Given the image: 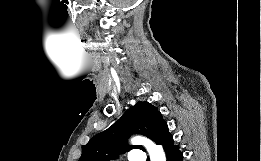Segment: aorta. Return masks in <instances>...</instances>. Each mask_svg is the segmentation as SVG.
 Segmentation results:
<instances>
[{"mask_svg": "<svg viewBox=\"0 0 261 161\" xmlns=\"http://www.w3.org/2000/svg\"><path fill=\"white\" fill-rule=\"evenodd\" d=\"M133 144L144 145L149 153L150 161H166L165 152L161 145H156L148 138L136 136L131 139Z\"/></svg>", "mask_w": 261, "mask_h": 161, "instance_id": "1", "label": "aorta"}]
</instances>
